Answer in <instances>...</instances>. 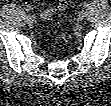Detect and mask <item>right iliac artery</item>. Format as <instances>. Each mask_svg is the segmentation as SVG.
<instances>
[{"label":"right iliac artery","instance_id":"82829eb1","mask_svg":"<svg viewBox=\"0 0 111 106\" xmlns=\"http://www.w3.org/2000/svg\"><path fill=\"white\" fill-rule=\"evenodd\" d=\"M26 11L28 13L27 17H29L30 16V8L26 9Z\"/></svg>","mask_w":111,"mask_h":106}]
</instances>
